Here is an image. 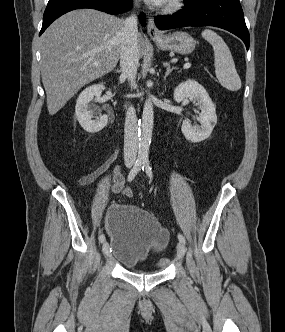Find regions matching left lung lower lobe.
Here are the masks:
<instances>
[{
    "instance_id": "obj_1",
    "label": "left lung lower lobe",
    "mask_w": 285,
    "mask_h": 332,
    "mask_svg": "<svg viewBox=\"0 0 285 332\" xmlns=\"http://www.w3.org/2000/svg\"><path fill=\"white\" fill-rule=\"evenodd\" d=\"M184 3V9L174 15L156 17L157 27L167 30L185 26H215L241 38L249 49V32L239 0H193Z\"/></svg>"
}]
</instances>
